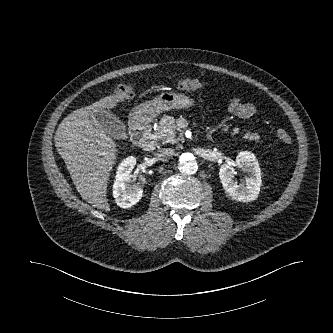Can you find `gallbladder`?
<instances>
[{
  "label": "gallbladder",
  "instance_id": "gallbladder-1",
  "mask_svg": "<svg viewBox=\"0 0 333 333\" xmlns=\"http://www.w3.org/2000/svg\"><path fill=\"white\" fill-rule=\"evenodd\" d=\"M93 124L100 131L116 139L126 138L124 124L111 112L104 109H97L92 115Z\"/></svg>",
  "mask_w": 333,
  "mask_h": 333
}]
</instances>
